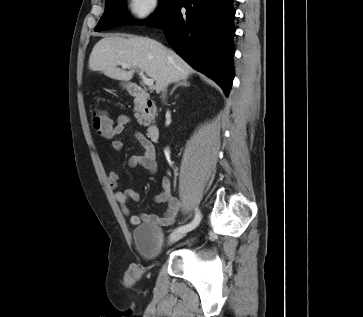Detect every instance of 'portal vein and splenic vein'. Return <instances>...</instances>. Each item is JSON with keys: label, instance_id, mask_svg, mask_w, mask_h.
<instances>
[{"label": "portal vein and splenic vein", "instance_id": "portal-vein-and-splenic-vein-1", "mask_svg": "<svg viewBox=\"0 0 363 317\" xmlns=\"http://www.w3.org/2000/svg\"><path fill=\"white\" fill-rule=\"evenodd\" d=\"M120 65H121V67L122 68H129V65L128 64H126V63H120ZM139 75H140V77L142 78V80H143V82H144V84L145 85H147L148 87H152L153 86V84H154V80L153 79H150V78H148V77H146L145 75H144V73H143V71H140V73H139Z\"/></svg>", "mask_w": 363, "mask_h": 317}]
</instances>
